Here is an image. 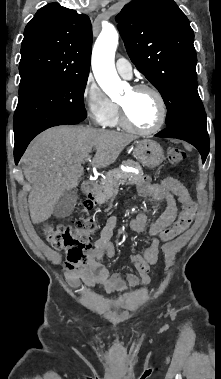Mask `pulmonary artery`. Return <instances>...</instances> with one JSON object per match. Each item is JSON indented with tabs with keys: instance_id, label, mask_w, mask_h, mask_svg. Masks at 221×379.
Listing matches in <instances>:
<instances>
[{
	"instance_id": "obj_1",
	"label": "pulmonary artery",
	"mask_w": 221,
	"mask_h": 379,
	"mask_svg": "<svg viewBox=\"0 0 221 379\" xmlns=\"http://www.w3.org/2000/svg\"><path fill=\"white\" fill-rule=\"evenodd\" d=\"M116 70L120 76L123 78H131L132 77V65L125 58H119L116 61Z\"/></svg>"
}]
</instances>
